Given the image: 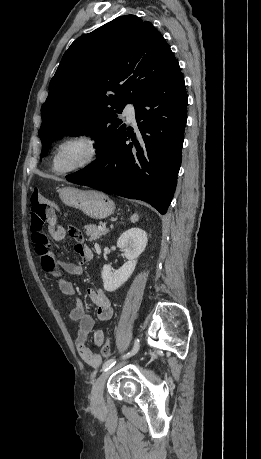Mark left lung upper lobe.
<instances>
[{"label": "left lung upper lobe", "mask_w": 261, "mask_h": 459, "mask_svg": "<svg viewBox=\"0 0 261 459\" xmlns=\"http://www.w3.org/2000/svg\"><path fill=\"white\" fill-rule=\"evenodd\" d=\"M162 34L135 15L120 16L76 39L65 52L41 108L44 157L54 139L87 134L99 144L93 167L125 131L118 119L176 62Z\"/></svg>", "instance_id": "5c2ea615"}]
</instances>
